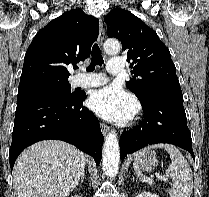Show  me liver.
Masks as SVG:
<instances>
[{
  "label": "liver",
  "mask_w": 209,
  "mask_h": 197,
  "mask_svg": "<svg viewBox=\"0 0 209 197\" xmlns=\"http://www.w3.org/2000/svg\"><path fill=\"white\" fill-rule=\"evenodd\" d=\"M86 155L60 140H44L25 149L13 169L17 197H67L85 169Z\"/></svg>",
  "instance_id": "6515ba94"
}]
</instances>
